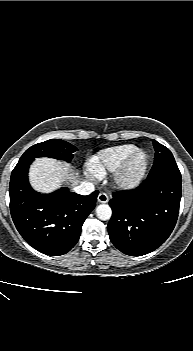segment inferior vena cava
Listing matches in <instances>:
<instances>
[{"label": "inferior vena cava", "instance_id": "1", "mask_svg": "<svg viewBox=\"0 0 193 351\" xmlns=\"http://www.w3.org/2000/svg\"><path fill=\"white\" fill-rule=\"evenodd\" d=\"M94 185L90 182L84 181L76 186L73 190L79 195H89L94 191Z\"/></svg>", "mask_w": 193, "mask_h": 351}]
</instances>
